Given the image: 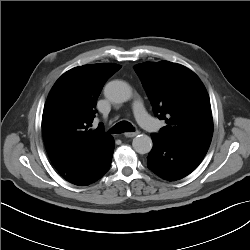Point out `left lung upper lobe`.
<instances>
[{"mask_svg":"<svg viewBox=\"0 0 250 250\" xmlns=\"http://www.w3.org/2000/svg\"><path fill=\"white\" fill-rule=\"evenodd\" d=\"M154 114L167 125L159 134L168 141L209 146L213 120L208 93L190 69L168 61L134 66Z\"/></svg>","mask_w":250,"mask_h":250,"instance_id":"5c2ea615","label":"left lung upper lobe"}]
</instances>
